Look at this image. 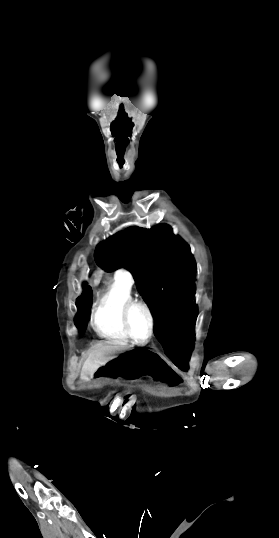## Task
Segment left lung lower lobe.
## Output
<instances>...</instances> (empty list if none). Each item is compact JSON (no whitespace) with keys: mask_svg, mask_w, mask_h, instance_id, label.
I'll return each mask as SVG.
<instances>
[{"mask_svg":"<svg viewBox=\"0 0 279 538\" xmlns=\"http://www.w3.org/2000/svg\"><path fill=\"white\" fill-rule=\"evenodd\" d=\"M155 336L165 349V354L180 369L188 370V361L193 349L192 338L194 332H154Z\"/></svg>","mask_w":279,"mask_h":538,"instance_id":"obj_1","label":"left lung lower lobe"}]
</instances>
